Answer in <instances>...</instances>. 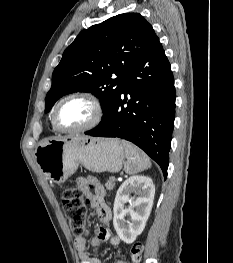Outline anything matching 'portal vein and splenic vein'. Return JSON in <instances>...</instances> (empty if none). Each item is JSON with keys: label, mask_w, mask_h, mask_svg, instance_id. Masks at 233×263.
<instances>
[{"label": "portal vein and splenic vein", "mask_w": 233, "mask_h": 263, "mask_svg": "<svg viewBox=\"0 0 233 263\" xmlns=\"http://www.w3.org/2000/svg\"><path fill=\"white\" fill-rule=\"evenodd\" d=\"M111 179L113 180V181H115L116 179H115V177H111Z\"/></svg>", "instance_id": "1"}]
</instances>
